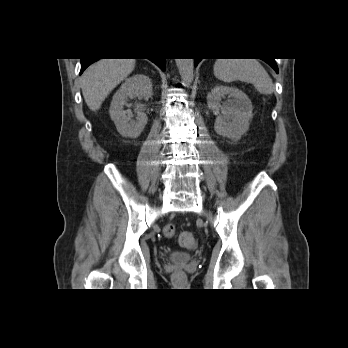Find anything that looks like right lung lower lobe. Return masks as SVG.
Wrapping results in <instances>:
<instances>
[{
    "label": "right lung lower lobe",
    "instance_id": "right-lung-lower-lobe-1",
    "mask_svg": "<svg viewBox=\"0 0 348 348\" xmlns=\"http://www.w3.org/2000/svg\"><path fill=\"white\" fill-rule=\"evenodd\" d=\"M98 59H91V58H85V59H81V71H80V75L83 73V71L93 62H95ZM151 61H153L156 65H158L162 70H165V59H150Z\"/></svg>",
    "mask_w": 348,
    "mask_h": 348
}]
</instances>
